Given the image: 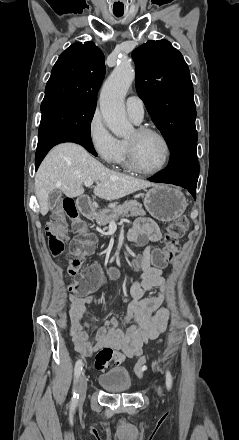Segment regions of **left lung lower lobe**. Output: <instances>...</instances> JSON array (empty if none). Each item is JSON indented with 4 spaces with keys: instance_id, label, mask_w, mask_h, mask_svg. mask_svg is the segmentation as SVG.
I'll use <instances>...</instances> for the list:
<instances>
[{
    "instance_id": "0a47b994",
    "label": "left lung lower lobe",
    "mask_w": 239,
    "mask_h": 440,
    "mask_svg": "<svg viewBox=\"0 0 239 440\" xmlns=\"http://www.w3.org/2000/svg\"><path fill=\"white\" fill-rule=\"evenodd\" d=\"M197 135L179 139L171 149L168 169L156 176L149 178L152 182H163L182 186L195 197L199 175L196 144Z\"/></svg>"
}]
</instances>
